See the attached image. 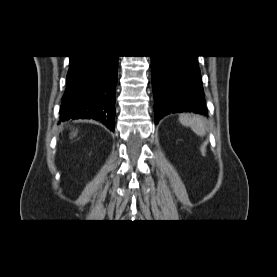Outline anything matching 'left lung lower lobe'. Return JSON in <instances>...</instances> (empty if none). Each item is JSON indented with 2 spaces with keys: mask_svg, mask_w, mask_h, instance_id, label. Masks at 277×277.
<instances>
[{
  "mask_svg": "<svg viewBox=\"0 0 277 277\" xmlns=\"http://www.w3.org/2000/svg\"><path fill=\"white\" fill-rule=\"evenodd\" d=\"M155 124L175 112L207 115L197 56H151Z\"/></svg>",
  "mask_w": 277,
  "mask_h": 277,
  "instance_id": "left-lung-lower-lobe-1",
  "label": "left lung lower lobe"
}]
</instances>
